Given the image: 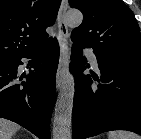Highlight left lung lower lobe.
Masks as SVG:
<instances>
[{
	"label": "left lung lower lobe",
	"mask_w": 141,
	"mask_h": 139,
	"mask_svg": "<svg viewBox=\"0 0 141 139\" xmlns=\"http://www.w3.org/2000/svg\"><path fill=\"white\" fill-rule=\"evenodd\" d=\"M74 43V42H73ZM84 44L74 43L70 69L75 77L72 117L73 139H84L112 130L141 135V63L122 61L94 52L101 70V84L92 85L83 75Z\"/></svg>",
	"instance_id": "0a47b994"
}]
</instances>
